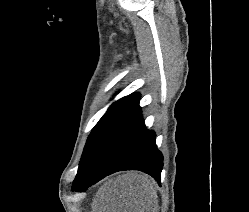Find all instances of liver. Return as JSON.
<instances>
[{"label": "liver", "mask_w": 249, "mask_h": 212, "mask_svg": "<svg viewBox=\"0 0 249 212\" xmlns=\"http://www.w3.org/2000/svg\"><path fill=\"white\" fill-rule=\"evenodd\" d=\"M154 182L141 172H126L105 182L93 200V212H157Z\"/></svg>", "instance_id": "6515ba94"}]
</instances>
